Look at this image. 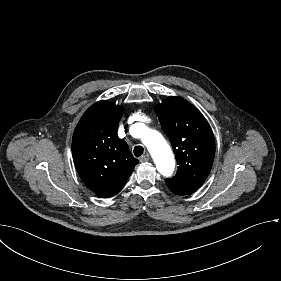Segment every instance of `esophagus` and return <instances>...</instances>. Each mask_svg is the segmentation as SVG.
<instances>
[{"label":"esophagus","mask_w":281,"mask_h":281,"mask_svg":"<svg viewBox=\"0 0 281 281\" xmlns=\"http://www.w3.org/2000/svg\"><path fill=\"white\" fill-rule=\"evenodd\" d=\"M150 160V155L149 154H145L144 156H142L140 158V162H147Z\"/></svg>","instance_id":"esophagus-1"}]
</instances>
